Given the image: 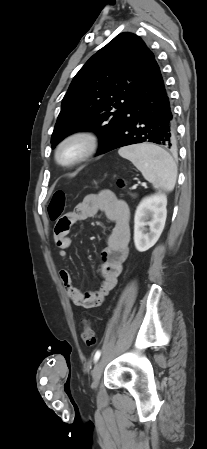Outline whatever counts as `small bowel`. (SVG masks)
I'll use <instances>...</instances> for the list:
<instances>
[{
    "label": "small bowel",
    "mask_w": 207,
    "mask_h": 449,
    "mask_svg": "<svg viewBox=\"0 0 207 449\" xmlns=\"http://www.w3.org/2000/svg\"><path fill=\"white\" fill-rule=\"evenodd\" d=\"M99 212L104 213L113 223V228L102 254L100 266L102 281L99 288L91 292H82L74 285L67 270L62 269L59 272L67 296L74 305L84 309L100 305L117 284L123 264L129 254V208L123 200L111 191L106 190L98 194H89L56 223L59 231L54 233L55 243L59 248L58 256L61 259H66L68 256L67 250L71 246L69 233L72 226Z\"/></svg>",
    "instance_id": "small-bowel-1"
}]
</instances>
